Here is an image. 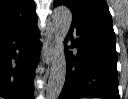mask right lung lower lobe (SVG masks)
<instances>
[{
    "label": "right lung lower lobe",
    "instance_id": "1",
    "mask_svg": "<svg viewBox=\"0 0 128 99\" xmlns=\"http://www.w3.org/2000/svg\"><path fill=\"white\" fill-rule=\"evenodd\" d=\"M37 16L0 34V96L33 99L34 70L39 61Z\"/></svg>",
    "mask_w": 128,
    "mask_h": 99
}]
</instances>
